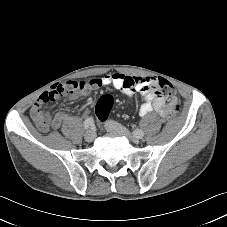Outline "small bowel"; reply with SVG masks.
<instances>
[{"mask_svg":"<svg viewBox=\"0 0 227 227\" xmlns=\"http://www.w3.org/2000/svg\"><path fill=\"white\" fill-rule=\"evenodd\" d=\"M163 78L136 77L122 73L107 74L103 77L94 78L90 81H67L57 83L47 92L39 96L33 104L30 114L37 128L43 132L49 128H59L67 116L61 112L48 114L43 111L44 105L59 97L67 95L69 101L78 97H84L93 89L111 85L122 91L126 96L138 93L144 102L139 108L141 116L156 111L161 116H176L180 112L178 99L174 94L165 95L160 91L158 82ZM87 114V112L85 113Z\"/></svg>","mask_w":227,"mask_h":227,"instance_id":"obj_1","label":"small bowel"}]
</instances>
